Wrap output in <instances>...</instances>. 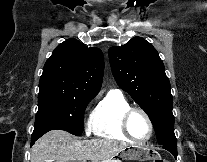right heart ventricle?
Instances as JSON below:
<instances>
[{
  "label": "right heart ventricle",
  "mask_w": 207,
  "mask_h": 162,
  "mask_svg": "<svg viewBox=\"0 0 207 162\" xmlns=\"http://www.w3.org/2000/svg\"><path fill=\"white\" fill-rule=\"evenodd\" d=\"M129 108V102L120 91H109L98 102L91 114V130L101 138L129 141L120 127L122 115Z\"/></svg>",
  "instance_id": "1"
}]
</instances>
